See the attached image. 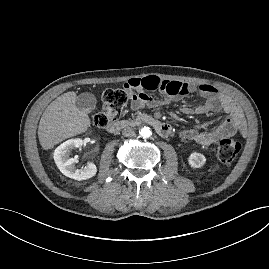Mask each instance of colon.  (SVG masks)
<instances>
[{
  "instance_id": "colon-1",
  "label": "colon",
  "mask_w": 269,
  "mask_h": 269,
  "mask_svg": "<svg viewBox=\"0 0 269 269\" xmlns=\"http://www.w3.org/2000/svg\"><path fill=\"white\" fill-rule=\"evenodd\" d=\"M129 95V90L125 85L124 88L105 90L102 94L101 109L93 118L94 124L97 127H105L109 122L116 120L122 113ZM240 150V142L225 138L218 144L217 155L222 163L230 164L238 156Z\"/></svg>"
}]
</instances>
